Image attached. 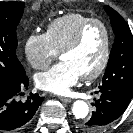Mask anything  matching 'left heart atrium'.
Here are the masks:
<instances>
[{
    "mask_svg": "<svg viewBox=\"0 0 133 133\" xmlns=\"http://www.w3.org/2000/svg\"><path fill=\"white\" fill-rule=\"evenodd\" d=\"M81 74L69 61L62 60L49 70L35 76L36 86L44 91L64 95L80 79Z\"/></svg>",
    "mask_w": 133,
    "mask_h": 133,
    "instance_id": "1",
    "label": "left heart atrium"
}]
</instances>
